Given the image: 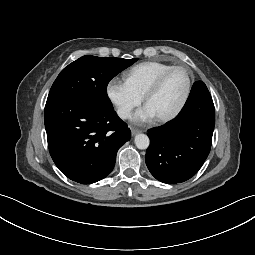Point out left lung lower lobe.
Here are the masks:
<instances>
[{
	"label": "left lung lower lobe",
	"mask_w": 255,
	"mask_h": 255,
	"mask_svg": "<svg viewBox=\"0 0 255 255\" xmlns=\"http://www.w3.org/2000/svg\"><path fill=\"white\" fill-rule=\"evenodd\" d=\"M214 126L213 100L205 83L197 81L180 113L164 126L148 130L145 161L151 174L167 184L193 177L209 155Z\"/></svg>",
	"instance_id": "1"
}]
</instances>
